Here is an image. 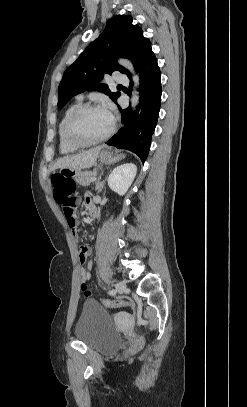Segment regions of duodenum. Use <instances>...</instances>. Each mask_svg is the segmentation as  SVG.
I'll list each match as a JSON object with an SVG mask.
<instances>
[{
    "mask_svg": "<svg viewBox=\"0 0 247 407\" xmlns=\"http://www.w3.org/2000/svg\"><path fill=\"white\" fill-rule=\"evenodd\" d=\"M88 210H89L90 216H91V217H94L95 214H96V207H95V204L92 203V202L89 203V204H88Z\"/></svg>",
    "mask_w": 247,
    "mask_h": 407,
    "instance_id": "410a0bca",
    "label": "duodenum"
}]
</instances>
